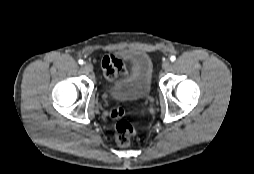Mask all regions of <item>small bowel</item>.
Here are the masks:
<instances>
[{"label":"small bowel","mask_w":254,"mask_h":174,"mask_svg":"<svg viewBox=\"0 0 254 174\" xmlns=\"http://www.w3.org/2000/svg\"><path fill=\"white\" fill-rule=\"evenodd\" d=\"M102 65L105 76L110 84L128 72V67L115 56L104 57ZM116 110H111L109 115L115 117L114 113Z\"/></svg>","instance_id":"small-bowel-1"}]
</instances>
